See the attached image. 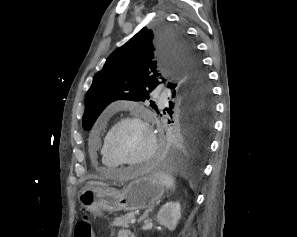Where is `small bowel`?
<instances>
[{"mask_svg": "<svg viewBox=\"0 0 297 237\" xmlns=\"http://www.w3.org/2000/svg\"><path fill=\"white\" fill-rule=\"evenodd\" d=\"M128 236H130V233L128 230H125V229L121 230L118 234V237H128Z\"/></svg>", "mask_w": 297, "mask_h": 237, "instance_id": "1", "label": "small bowel"}]
</instances>
